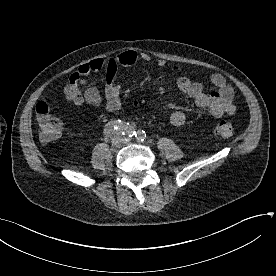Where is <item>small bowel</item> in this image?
Segmentation results:
<instances>
[{"label":"small bowel","instance_id":"small-bowel-1","mask_svg":"<svg viewBox=\"0 0 276 276\" xmlns=\"http://www.w3.org/2000/svg\"><path fill=\"white\" fill-rule=\"evenodd\" d=\"M151 57L144 52L127 50L115 57L96 58L84 63L73 72L63 86V92L68 102L75 106L87 103L96 108H104L108 112H114L121 107L120 90L114 84V79L120 66L128 67L139 61L149 62ZM158 67H164L163 60L157 61ZM103 71L105 73L104 97L100 91L92 85H87L85 76ZM207 83L215 87L210 92H205V82H193L187 77L177 81L179 91L190 97L199 108H206L215 117L233 115L236 107L233 103L234 92L225 78L214 73ZM84 87V90L82 88ZM44 101V100H42ZM46 102V101H45ZM187 116L181 110L174 111L170 116V122L176 127L185 124Z\"/></svg>","mask_w":276,"mask_h":276}]
</instances>
